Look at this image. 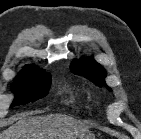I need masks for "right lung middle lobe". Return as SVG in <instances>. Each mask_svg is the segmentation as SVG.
<instances>
[{
    "mask_svg": "<svg viewBox=\"0 0 141 139\" xmlns=\"http://www.w3.org/2000/svg\"><path fill=\"white\" fill-rule=\"evenodd\" d=\"M50 83V74L43 70L38 68L22 70L12 85L15 99L11 106L25 105L46 96Z\"/></svg>",
    "mask_w": 141,
    "mask_h": 139,
    "instance_id": "dd1d6c3e",
    "label": "right lung middle lobe"
}]
</instances>
